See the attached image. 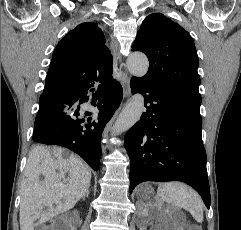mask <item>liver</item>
Masks as SVG:
<instances>
[{
  "label": "liver",
  "mask_w": 241,
  "mask_h": 230,
  "mask_svg": "<svg viewBox=\"0 0 241 230\" xmlns=\"http://www.w3.org/2000/svg\"><path fill=\"white\" fill-rule=\"evenodd\" d=\"M63 154L61 148L45 146H35L29 152L21 190L20 230H34L36 224L70 210L86 195L91 172L74 154ZM40 175L44 176L42 181Z\"/></svg>",
  "instance_id": "obj_1"
}]
</instances>
